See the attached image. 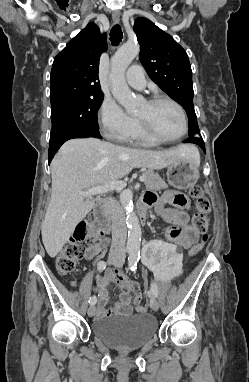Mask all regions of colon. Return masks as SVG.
<instances>
[{"mask_svg":"<svg viewBox=\"0 0 249 382\" xmlns=\"http://www.w3.org/2000/svg\"><path fill=\"white\" fill-rule=\"evenodd\" d=\"M189 195L195 200L196 213L194 224L202 234L201 240L193 244L189 250V255L195 256L203 249L209 235L211 205L208 198L204 196L200 186H192ZM102 235L101 229L96 224L95 219L90 216L80 221L74 231L73 237L67 241L56 259V269L60 274L68 275L75 271L76 265L85 255L83 242L95 243ZM134 302L139 312H145L146 306L142 304V297L139 293L135 294Z\"/></svg>","mask_w":249,"mask_h":382,"instance_id":"obj_1","label":"colon"}]
</instances>
